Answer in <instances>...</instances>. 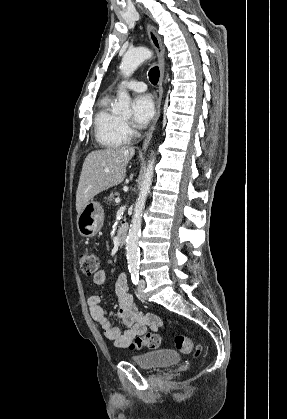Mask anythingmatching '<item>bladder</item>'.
Returning <instances> with one entry per match:
<instances>
[{
    "label": "bladder",
    "mask_w": 287,
    "mask_h": 419,
    "mask_svg": "<svg viewBox=\"0 0 287 419\" xmlns=\"http://www.w3.org/2000/svg\"><path fill=\"white\" fill-rule=\"evenodd\" d=\"M180 357L172 350L163 349L136 356L132 362L142 369L159 370L177 364Z\"/></svg>",
    "instance_id": "obj_1"
}]
</instances>
